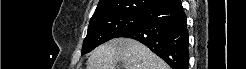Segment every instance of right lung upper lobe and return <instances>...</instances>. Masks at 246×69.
Returning <instances> with one entry per match:
<instances>
[{"mask_svg":"<svg viewBox=\"0 0 246 69\" xmlns=\"http://www.w3.org/2000/svg\"><path fill=\"white\" fill-rule=\"evenodd\" d=\"M168 0H100L91 20L119 14H142Z\"/></svg>","mask_w":246,"mask_h":69,"instance_id":"right-lung-upper-lobe-1","label":"right lung upper lobe"}]
</instances>
